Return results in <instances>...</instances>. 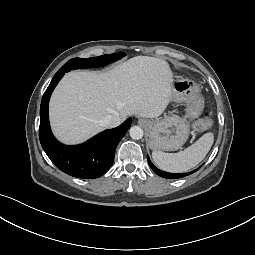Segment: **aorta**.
<instances>
[{
	"label": "aorta",
	"mask_w": 255,
	"mask_h": 255,
	"mask_svg": "<svg viewBox=\"0 0 255 255\" xmlns=\"http://www.w3.org/2000/svg\"><path fill=\"white\" fill-rule=\"evenodd\" d=\"M130 137L135 140H139L143 137V130L139 126H133L129 130Z\"/></svg>",
	"instance_id": "aorta-1"
}]
</instances>
